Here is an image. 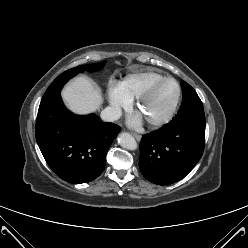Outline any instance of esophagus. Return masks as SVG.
<instances>
[{
	"instance_id": "esophagus-1",
	"label": "esophagus",
	"mask_w": 248,
	"mask_h": 248,
	"mask_svg": "<svg viewBox=\"0 0 248 248\" xmlns=\"http://www.w3.org/2000/svg\"><path fill=\"white\" fill-rule=\"evenodd\" d=\"M131 134L134 136L135 139H137V140L141 139V136L139 134L133 133V132H131Z\"/></svg>"
}]
</instances>
